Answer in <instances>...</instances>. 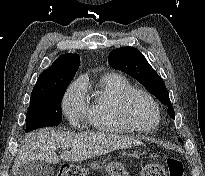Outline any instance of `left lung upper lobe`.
I'll return each mask as SVG.
<instances>
[{
	"label": "left lung upper lobe",
	"mask_w": 205,
	"mask_h": 176,
	"mask_svg": "<svg viewBox=\"0 0 205 176\" xmlns=\"http://www.w3.org/2000/svg\"><path fill=\"white\" fill-rule=\"evenodd\" d=\"M109 64L137 79L144 87L155 95L164 105L168 106V113L174 119L175 112L171 106L169 92L163 79L147 62L144 55L134 47H121L110 52ZM179 141H183L179 138Z\"/></svg>",
	"instance_id": "1"
}]
</instances>
